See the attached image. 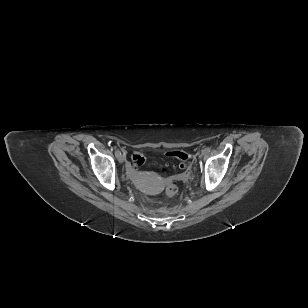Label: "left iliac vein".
Segmentation results:
<instances>
[{
  "instance_id": "obj_1",
  "label": "left iliac vein",
  "mask_w": 308,
  "mask_h": 308,
  "mask_svg": "<svg viewBox=\"0 0 308 308\" xmlns=\"http://www.w3.org/2000/svg\"><path fill=\"white\" fill-rule=\"evenodd\" d=\"M206 153H208L205 149L202 150L201 156L205 155Z\"/></svg>"
}]
</instances>
